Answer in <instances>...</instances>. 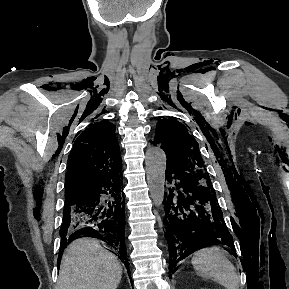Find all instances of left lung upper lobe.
Listing matches in <instances>:
<instances>
[{
  "label": "left lung upper lobe",
  "instance_id": "left-lung-upper-lobe-1",
  "mask_svg": "<svg viewBox=\"0 0 289 289\" xmlns=\"http://www.w3.org/2000/svg\"><path fill=\"white\" fill-rule=\"evenodd\" d=\"M154 144L161 145L166 153L167 167L188 174L191 178L211 184L199 153V146L188 129L174 119L158 121Z\"/></svg>",
  "mask_w": 289,
  "mask_h": 289
}]
</instances>
